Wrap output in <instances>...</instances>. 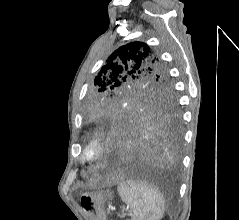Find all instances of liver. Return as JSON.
Listing matches in <instances>:
<instances>
[{"instance_id": "1", "label": "liver", "mask_w": 239, "mask_h": 220, "mask_svg": "<svg viewBox=\"0 0 239 220\" xmlns=\"http://www.w3.org/2000/svg\"><path fill=\"white\" fill-rule=\"evenodd\" d=\"M121 179H122V175L116 173V174L112 175L111 177L107 178L106 184L112 185V184L119 182Z\"/></svg>"}]
</instances>
